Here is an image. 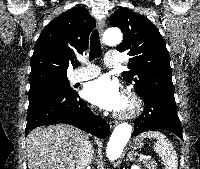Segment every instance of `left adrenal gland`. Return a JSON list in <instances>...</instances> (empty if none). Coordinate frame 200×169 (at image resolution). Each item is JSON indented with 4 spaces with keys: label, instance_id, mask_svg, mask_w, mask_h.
Listing matches in <instances>:
<instances>
[{
    "label": "left adrenal gland",
    "instance_id": "obj_1",
    "mask_svg": "<svg viewBox=\"0 0 200 169\" xmlns=\"http://www.w3.org/2000/svg\"><path fill=\"white\" fill-rule=\"evenodd\" d=\"M129 160H135L134 151L132 150L127 154V157H126V161H129Z\"/></svg>",
    "mask_w": 200,
    "mask_h": 169
}]
</instances>
